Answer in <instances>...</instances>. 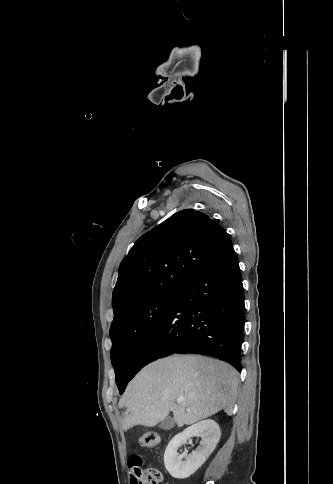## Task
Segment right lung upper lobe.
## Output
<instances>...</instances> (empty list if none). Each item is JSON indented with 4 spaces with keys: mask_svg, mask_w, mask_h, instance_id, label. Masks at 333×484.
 I'll use <instances>...</instances> for the list:
<instances>
[{
    "mask_svg": "<svg viewBox=\"0 0 333 484\" xmlns=\"http://www.w3.org/2000/svg\"><path fill=\"white\" fill-rule=\"evenodd\" d=\"M232 242L208 215L185 209L141 236L119 267L113 322L142 302L186 283L213 264Z\"/></svg>",
    "mask_w": 333,
    "mask_h": 484,
    "instance_id": "obj_1",
    "label": "right lung upper lobe"
}]
</instances>
